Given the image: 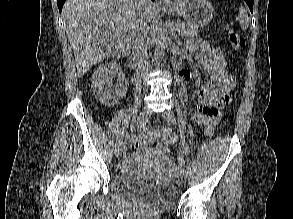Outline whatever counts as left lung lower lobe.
Listing matches in <instances>:
<instances>
[{
    "label": "left lung lower lobe",
    "mask_w": 293,
    "mask_h": 219,
    "mask_svg": "<svg viewBox=\"0 0 293 219\" xmlns=\"http://www.w3.org/2000/svg\"><path fill=\"white\" fill-rule=\"evenodd\" d=\"M245 2L249 6L250 11L253 12V0H245Z\"/></svg>",
    "instance_id": "obj_1"
}]
</instances>
